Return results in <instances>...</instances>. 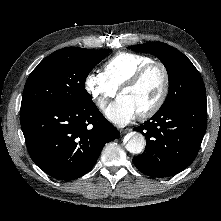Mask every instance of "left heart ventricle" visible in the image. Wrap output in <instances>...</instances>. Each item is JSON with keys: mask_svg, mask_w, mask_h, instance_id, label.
<instances>
[{"mask_svg": "<svg viewBox=\"0 0 221 221\" xmlns=\"http://www.w3.org/2000/svg\"><path fill=\"white\" fill-rule=\"evenodd\" d=\"M164 84V75L159 67L151 68L135 86L124 90L125 97L137 114L151 107L159 98Z\"/></svg>", "mask_w": 221, "mask_h": 221, "instance_id": "obj_1", "label": "left heart ventricle"}]
</instances>
